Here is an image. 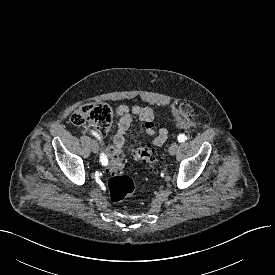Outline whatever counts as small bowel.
<instances>
[{
    "instance_id": "c3829d8e",
    "label": "small bowel",
    "mask_w": 275,
    "mask_h": 275,
    "mask_svg": "<svg viewBox=\"0 0 275 275\" xmlns=\"http://www.w3.org/2000/svg\"><path fill=\"white\" fill-rule=\"evenodd\" d=\"M118 123L117 133L114 137L113 144L105 148V156L111 160L122 157L125 151V133L130 128L133 118H136L142 126V133L152 138L154 146H161L168 137L165 128L155 129L153 120L154 113L148 107L135 105L129 107L127 105L118 106L117 110ZM104 134V133H101Z\"/></svg>"
}]
</instances>
